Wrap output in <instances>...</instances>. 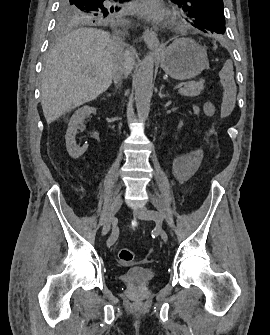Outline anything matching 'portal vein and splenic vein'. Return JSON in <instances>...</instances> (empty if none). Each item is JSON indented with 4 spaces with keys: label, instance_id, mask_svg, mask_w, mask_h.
Wrapping results in <instances>:
<instances>
[{
    "label": "portal vein and splenic vein",
    "instance_id": "obj_1",
    "mask_svg": "<svg viewBox=\"0 0 270 335\" xmlns=\"http://www.w3.org/2000/svg\"><path fill=\"white\" fill-rule=\"evenodd\" d=\"M183 83H186V82L179 81L178 85H175L173 88H174L175 90H179V88H180L181 86L184 85Z\"/></svg>",
    "mask_w": 270,
    "mask_h": 335
}]
</instances>
